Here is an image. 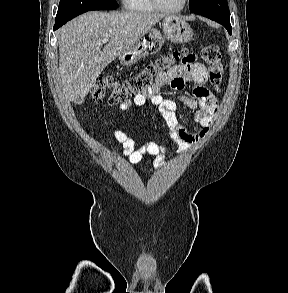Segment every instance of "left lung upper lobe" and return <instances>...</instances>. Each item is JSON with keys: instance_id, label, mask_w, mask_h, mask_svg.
<instances>
[{"instance_id": "obj_1", "label": "left lung upper lobe", "mask_w": 288, "mask_h": 293, "mask_svg": "<svg viewBox=\"0 0 288 293\" xmlns=\"http://www.w3.org/2000/svg\"><path fill=\"white\" fill-rule=\"evenodd\" d=\"M189 9L222 25L230 24L227 0H189Z\"/></svg>"}]
</instances>
